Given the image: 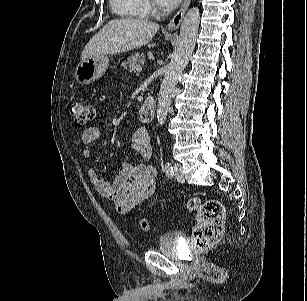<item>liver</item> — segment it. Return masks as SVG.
Here are the masks:
<instances>
[{
    "label": "liver",
    "instance_id": "6515ba94",
    "mask_svg": "<svg viewBox=\"0 0 307 301\" xmlns=\"http://www.w3.org/2000/svg\"><path fill=\"white\" fill-rule=\"evenodd\" d=\"M159 28V24L143 19H113L90 39L82 51L81 61L144 46L152 40Z\"/></svg>",
    "mask_w": 307,
    "mask_h": 301
}]
</instances>
